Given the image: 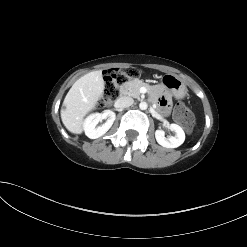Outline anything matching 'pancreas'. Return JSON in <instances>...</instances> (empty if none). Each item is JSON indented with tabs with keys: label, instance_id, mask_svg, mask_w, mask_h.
Masks as SVG:
<instances>
[{
	"label": "pancreas",
	"instance_id": "obj_1",
	"mask_svg": "<svg viewBox=\"0 0 247 247\" xmlns=\"http://www.w3.org/2000/svg\"><path fill=\"white\" fill-rule=\"evenodd\" d=\"M143 86L150 89V86L148 84L144 83L141 80L134 79V80L123 83L120 86V93L123 95H129V96L139 99L141 96L140 88Z\"/></svg>",
	"mask_w": 247,
	"mask_h": 247
}]
</instances>
